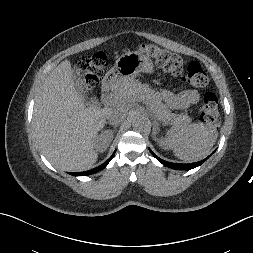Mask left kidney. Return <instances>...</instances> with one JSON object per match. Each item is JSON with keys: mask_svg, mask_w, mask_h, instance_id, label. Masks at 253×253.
<instances>
[{"mask_svg": "<svg viewBox=\"0 0 253 253\" xmlns=\"http://www.w3.org/2000/svg\"><path fill=\"white\" fill-rule=\"evenodd\" d=\"M157 142H158L159 146H161L162 148H164V149L167 148V143L163 139H160Z\"/></svg>", "mask_w": 253, "mask_h": 253, "instance_id": "5707ae66", "label": "left kidney"}]
</instances>
